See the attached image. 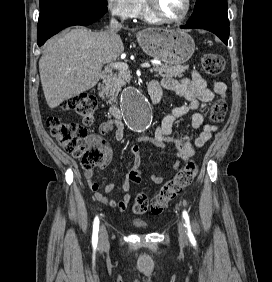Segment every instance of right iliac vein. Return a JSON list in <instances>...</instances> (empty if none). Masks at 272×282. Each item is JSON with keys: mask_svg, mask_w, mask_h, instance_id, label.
Instances as JSON below:
<instances>
[{"mask_svg": "<svg viewBox=\"0 0 272 282\" xmlns=\"http://www.w3.org/2000/svg\"><path fill=\"white\" fill-rule=\"evenodd\" d=\"M108 242V235L106 228L104 226H101L100 228V244L101 246H105Z\"/></svg>", "mask_w": 272, "mask_h": 282, "instance_id": "1", "label": "right iliac vein"}]
</instances>
